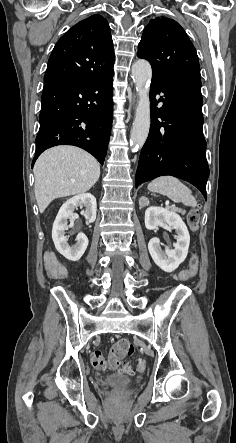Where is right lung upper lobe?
Here are the masks:
<instances>
[{
	"instance_id": "1",
	"label": "right lung upper lobe",
	"mask_w": 236,
	"mask_h": 443,
	"mask_svg": "<svg viewBox=\"0 0 236 443\" xmlns=\"http://www.w3.org/2000/svg\"><path fill=\"white\" fill-rule=\"evenodd\" d=\"M114 51L105 18L92 15L70 28L56 43L44 82L92 79L113 71Z\"/></svg>"
}]
</instances>
